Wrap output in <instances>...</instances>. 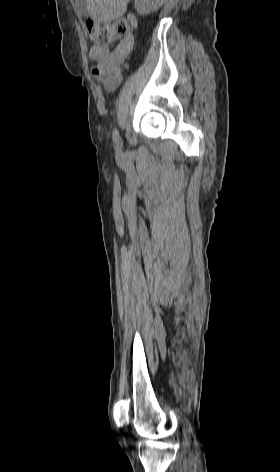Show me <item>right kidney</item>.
<instances>
[{
    "label": "right kidney",
    "instance_id": "right-kidney-1",
    "mask_svg": "<svg viewBox=\"0 0 280 472\" xmlns=\"http://www.w3.org/2000/svg\"><path fill=\"white\" fill-rule=\"evenodd\" d=\"M163 0H135V8L141 15H147L156 11Z\"/></svg>",
    "mask_w": 280,
    "mask_h": 472
}]
</instances>
